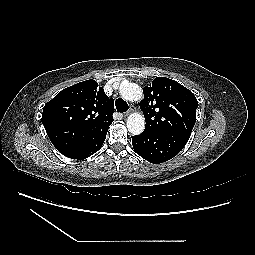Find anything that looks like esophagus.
I'll use <instances>...</instances> for the list:
<instances>
[{
    "label": "esophagus",
    "mask_w": 255,
    "mask_h": 255,
    "mask_svg": "<svg viewBox=\"0 0 255 255\" xmlns=\"http://www.w3.org/2000/svg\"><path fill=\"white\" fill-rule=\"evenodd\" d=\"M132 108H130V110H128L127 112H125L124 114H123V116L124 117H126V116H128L131 112H132Z\"/></svg>",
    "instance_id": "obj_1"
}]
</instances>
